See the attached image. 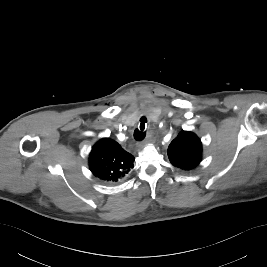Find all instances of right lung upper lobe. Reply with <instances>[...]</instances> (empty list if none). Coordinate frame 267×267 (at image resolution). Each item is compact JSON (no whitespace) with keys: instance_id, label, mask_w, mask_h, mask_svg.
<instances>
[{"instance_id":"1","label":"right lung upper lobe","mask_w":267,"mask_h":267,"mask_svg":"<svg viewBox=\"0 0 267 267\" xmlns=\"http://www.w3.org/2000/svg\"><path fill=\"white\" fill-rule=\"evenodd\" d=\"M134 156L116 141L103 138L92 148L89 166L93 175L102 181L116 183L133 168Z\"/></svg>"}]
</instances>
